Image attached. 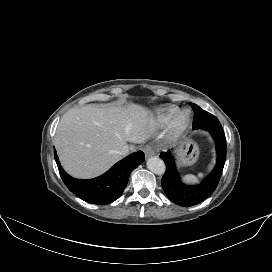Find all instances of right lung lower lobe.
<instances>
[{"instance_id":"right-lung-lower-lobe-1","label":"right lung lower lobe","mask_w":272,"mask_h":272,"mask_svg":"<svg viewBox=\"0 0 272 272\" xmlns=\"http://www.w3.org/2000/svg\"><path fill=\"white\" fill-rule=\"evenodd\" d=\"M54 157L66 187L82 200L98 205H106L118 199L128 183L132 170L145 159L144 153L138 151L122 159L97 178L79 180L69 176L63 170L56 151H54Z\"/></svg>"}]
</instances>
